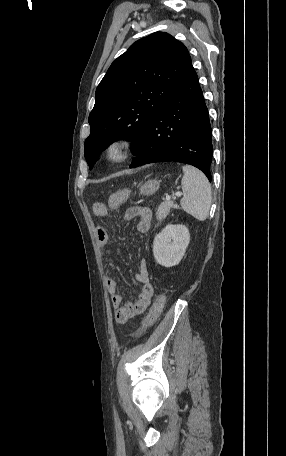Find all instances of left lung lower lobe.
<instances>
[{
    "label": "left lung lower lobe",
    "instance_id": "0a47b994",
    "mask_svg": "<svg viewBox=\"0 0 286 456\" xmlns=\"http://www.w3.org/2000/svg\"><path fill=\"white\" fill-rule=\"evenodd\" d=\"M212 149L208 109L191 65L152 119L130 168L175 161L197 167L211 181Z\"/></svg>",
    "mask_w": 286,
    "mask_h": 456
}]
</instances>
